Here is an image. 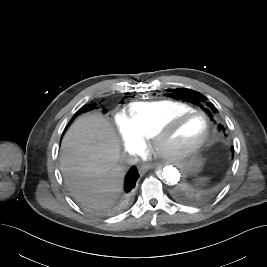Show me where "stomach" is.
Returning <instances> with one entry per match:
<instances>
[{"label":"stomach","mask_w":267,"mask_h":267,"mask_svg":"<svg viewBox=\"0 0 267 267\" xmlns=\"http://www.w3.org/2000/svg\"><path fill=\"white\" fill-rule=\"evenodd\" d=\"M203 160L200 157L193 156L190 160L185 164V169L188 172L196 173L202 166Z\"/></svg>","instance_id":"stomach-1"}]
</instances>
